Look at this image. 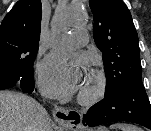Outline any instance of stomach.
<instances>
[{
	"mask_svg": "<svg viewBox=\"0 0 151 131\" xmlns=\"http://www.w3.org/2000/svg\"><path fill=\"white\" fill-rule=\"evenodd\" d=\"M95 131H108V130L104 127H98L97 130H95Z\"/></svg>",
	"mask_w": 151,
	"mask_h": 131,
	"instance_id": "1",
	"label": "stomach"
}]
</instances>
